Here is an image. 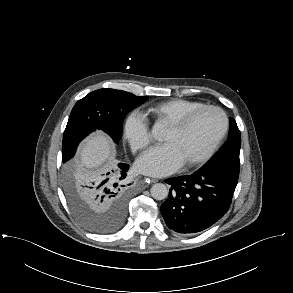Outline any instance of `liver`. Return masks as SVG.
<instances>
[{"label":"liver","mask_w":293,"mask_h":293,"mask_svg":"<svg viewBox=\"0 0 293 293\" xmlns=\"http://www.w3.org/2000/svg\"><path fill=\"white\" fill-rule=\"evenodd\" d=\"M112 159V146L103 133H97L88 138L81 148L80 162L86 171H98ZM92 174H95V172H92Z\"/></svg>","instance_id":"1"}]
</instances>
